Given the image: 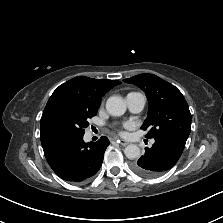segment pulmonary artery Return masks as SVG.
Here are the masks:
<instances>
[{
    "label": "pulmonary artery",
    "instance_id": "1",
    "mask_svg": "<svg viewBox=\"0 0 223 223\" xmlns=\"http://www.w3.org/2000/svg\"><path fill=\"white\" fill-rule=\"evenodd\" d=\"M126 101L130 112L136 114L140 113L144 109L146 98L142 93L131 92L126 96Z\"/></svg>",
    "mask_w": 223,
    "mask_h": 223
}]
</instances>
